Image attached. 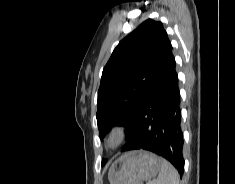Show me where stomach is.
<instances>
[{
  "label": "stomach",
  "instance_id": "obj_1",
  "mask_svg": "<svg viewBox=\"0 0 235 184\" xmlns=\"http://www.w3.org/2000/svg\"><path fill=\"white\" fill-rule=\"evenodd\" d=\"M160 170L159 156L145 150H133L121 156L109 168L110 184H142L151 180Z\"/></svg>",
  "mask_w": 235,
  "mask_h": 184
}]
</instances>
